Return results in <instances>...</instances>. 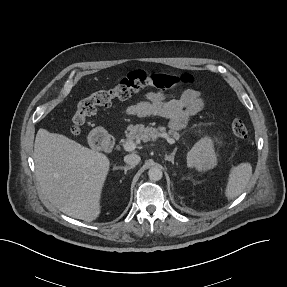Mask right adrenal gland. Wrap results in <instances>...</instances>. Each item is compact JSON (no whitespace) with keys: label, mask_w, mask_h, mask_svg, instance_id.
Masks as SVG:
<instances>
[{"label":"right adrenal gland","mask_w":287,"mask_h":287,"mask_svg":"<svg viewBox=\"0 0 287 287\" xmlns=\"http://www.w3.org/2000/svg\"><path fill=\"white\" fill-rule=\"evenodd\" d=\"M133 166H119V167H114V169H120V170H124V174L126 175L127 171L132 169Z\"/></svg>","instance_id":"2a0ac1e0"}]
</instances>
